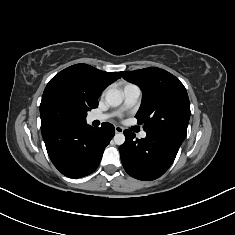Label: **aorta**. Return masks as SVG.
I'll use <instances>...</instances> for the list:
<instances>
[{"label": "aorta", "mask_w": 235, "mask_h": 235, "mask_svg": "<svg viewBox=\"0 0 235 235\" xmlns=\"http://www.w3.org/2000/svg\"><path fill=\"white\" fill-rule=\"evenodd\" d=\"M105 100L110 106L117 107L123 102V94L117 89H109L106 93ZM113 139L117 145H122L125 142L123 133L115 134Z\"/></svg>", "instance_id": "762f6f07"}]
</instances>
